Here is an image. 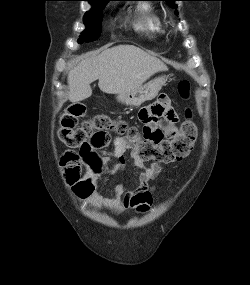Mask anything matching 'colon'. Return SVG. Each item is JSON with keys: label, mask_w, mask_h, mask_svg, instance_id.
<instances>
[{"label": "colon", "mask_w": 250, "mask_h": 285, "mask_svg": "<svg viewBox=\"0 0 250 285\" xmlns=\"http://www.w3.org/2000/svg\"><path fill=\"white\" fill-rule=\"evenodd\" d=\"M181 96L187 97L189 84L180 82L178 86ZM86 114V106L83 103L70 105L60 120L58 135L60 140L72 148H85L90 143L106 145L109 140V131H114L125 136L135 146V152L142 161L153 160L160 163L179 161L189 154L197 138V127L194 122L187 119L179 131L165 141V144H152V141H142L136 127L123 120L112 119L105 114H98L87 121L80 123V119ZM144 133V132H143ZM78 156L68 152L62 158V164L67 169L70 182L79 180Z\"/></svg>", "instance_id": "1"}]
</instances>
